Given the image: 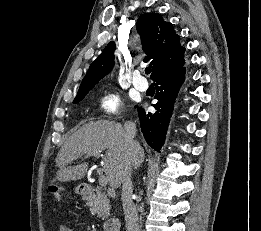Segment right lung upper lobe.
Returning a JSON list of instances; mask_svg holds the SVG:
<instances>
[{"label":"right lung upper lobe","mask_w":261,"mask_h":231,"mask_svg":"<svg viewBox=\"0 0 261 231\" xmlns=\"http://www.w3.org/2000/svg\"><path fill=\"white\" fill-rule=\"evenodd\" d=\"M136 28L153 72L151 78L158 77L183 67L185 48L171 23L165 22L158 13H145L139 17ZM115 43L110 42L101 55L90 65L77 94L89 92L95 84L107 75L114 65Z\"/></svg>","instance_id":"right-lung-upper-lobe-1"}]
</instances>
